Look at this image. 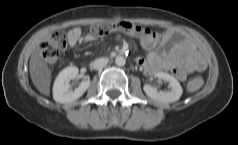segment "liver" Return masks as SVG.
I'll use <instances>...</instances> for the list:
<instances>
[{
    "label": "liver",
    "mask_w": 238,
    "mask_h": 145,
    "mask_svg": "<svg viewBox=\"0 0 238 145\" xmlns=\"http://www.w3.org/2000/svg\"><path fill=\"white\" fill-rule=\"evenodd\" d=\"M29 71L31 80L37 90L43 95L49 96L52 71L43 59L40 46H36L31 54Z\"/></svg>",
    "instance_id": "6515ba94"
}]
</instances>
